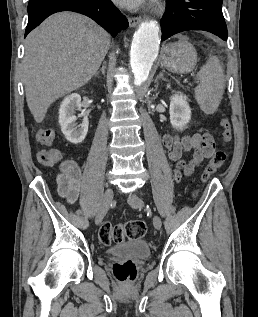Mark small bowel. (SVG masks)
I'll return each mask as SVG.
<instances>
[{
	"label": "small bowel",
	"mask_w": 258,
	"mask_h": 317,
	"mask_svg": "<svg viewBox=\"0 0 258 317\" xmlns=\"http://www.w3.org/2000/svg\"><path fill=\"white\" fill-rule=\"evenodd\" d=\"M36 139L40 145L50 146L54 140L51 128L38 130ZM168 158L176 163L174 179L180 181L183 175L192 174L204 159H209L215 150V140L208 133L193 135H175L165 133L162 137ZM81 185V169L73 160L60 163L57 175V189L61 197L73 204L79 196Z\"/></svg>",
	"instance_id": "c3829d8e"
}]
</instances>
